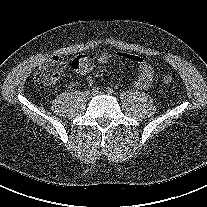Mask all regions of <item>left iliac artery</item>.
<instances>
[{
	"instance_id": "44dca946",
	"label": "left iliac artery",
	"mask_w": 207,
	"mask_h": 207,
	"mask_svg": "<svg viewBox=\"0 0 207 207\" xmlns=\"http://www.w3.org/2000/svg\"><path fill=\"white\" fill-rule=\"evenodd\" d=\"M107 94L111 95L113 94V90L111 88H107L106 89Z\"/></svg>"
}]
</instances>
